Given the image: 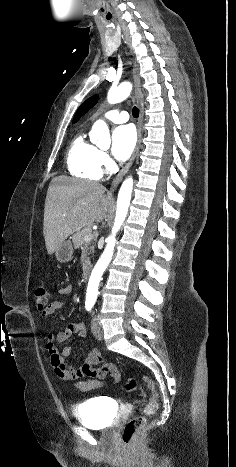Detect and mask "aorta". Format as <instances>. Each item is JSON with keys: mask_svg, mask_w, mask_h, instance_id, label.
<instances>
[{"mask_svg": "<svg viewBox=\"0 0 236 467\" xmlns=\"http://www.w3.org/2000/svg\"><path fill=\"white\" fill-rule=\"evenodd\" d=\"M131 90L132 84L130 82H122L119 86L111 88L107 94L108 103L116 104L122 102L130 95ZM108 137L109 130L107 124L103 120H97L93 124L90 132L91 141L97 146H101V141L103 139H108ZM132 189L133 178L128 177L122 183L118 193L115 221L111 234L106 239V247L95 267L93 268L89 278L86 293L87 301H95L97 298L100 280L113 256L114 247L116 244V234L124 223L129 210Z\"/></svg>", "mask_w": 236, "mask_h": 467, "instance_id": "aorta-1", "label": "aorta"}]
</instances>
